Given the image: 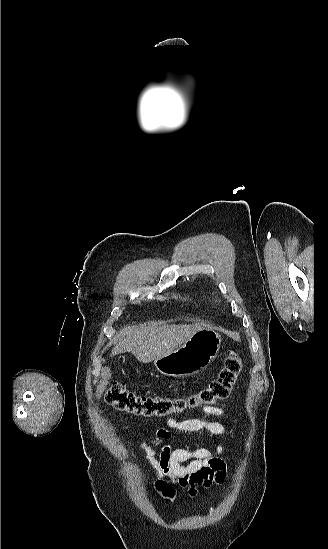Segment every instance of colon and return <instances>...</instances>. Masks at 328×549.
Masks as SVG:
<instances>
[{
  "mask_svg": "<svg viewBox=\"0 0 328 549\" xmlns=\"http://www.w3.org/2000/svg\"><path fill=\"white\" fill-rule=\"evenodd\" d=\"M242 369V360L237 352L230 350L217 378L199 392L186 397H161L137 395L119 384L111 385L105 394L107 403L113 407L143 416H166L181 413L190 408L212 406L225 399ZM156 487L165 496L173 498L174 488L165 481H158Z\"/></svg>",
  "mask_w": 328,
  "mask_h": 549,
  "instance_id": "obj_1",
  "label": "colon"
}]
</instances>
